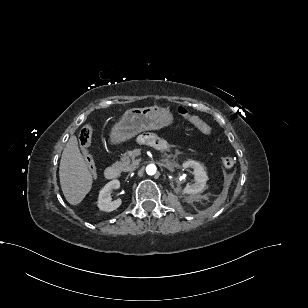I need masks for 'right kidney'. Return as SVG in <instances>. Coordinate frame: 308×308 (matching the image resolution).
<instances>
[{
	"instance_id": "right-kidney-1",
	"label": "right kidney",
	"mask_w": 308,
	"mask_h": 308,
	"mask_svg": "<svg viewBox=\"0 0 308 308\" xmlns=\"http://www.w3.org/2000/svg\"><path fill=\"white\" fill-rule=\"evenodd\" d=\"M120 187V182L117 179H114L108 182L99 192L97 206L100 210L104 212H111L116 210L122 203L121 199L112 201L111 191L113 189H118Z\"/></svg>"
}]
</instances>
